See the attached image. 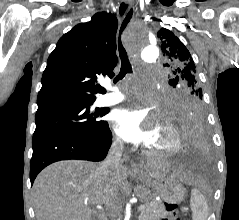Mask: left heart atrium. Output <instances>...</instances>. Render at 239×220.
I'll return each instance as SVG.
<instances>
[{
	"mask_svg": "<svg viewBox=\"0 0 239 220\" xmlns=\"http://www.w3.org/2000/svg\"><path fill=\"white\" fill-rule=\"evenodd\" d=\"M114 128L125 141L147 144L153 137L156 115L144 108V103L117 111L113 116Z\"/></svg>",
	"mask_w": 239,
	"mask_h": 220,
	"instance_id": "39dd6f15",
	"label": "left heart atrium"
}]
</instances>
